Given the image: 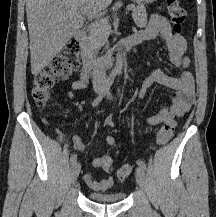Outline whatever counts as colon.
<instances>
[{"label": "colon", "instance_id": "5ec220e1", "mask_svg": "<svg viewBox=\"0 0 216 217\" xmlns=\"http://www.w3.org/2000/svg\"><path fill=\"white\" fill-rule=\"evenodd\" d=\"M169 18L175 32H180L186 20V10L180 4L179 0H167ZM80 43L71 40L65 48L56 56L45 68L38 72L34 77L32 97L39 106L46 105L50 100V90L53 85L62 79H67L76 70L79 64ZM115 124L113 117H107L104 125L106 128H112ZM175 122L165 123L157 133L156 141L159 145L167 144L174 133ZM106 172L114 170L113 162L107 160L103 164ZM130 165L120 167L116 176L118 180L123 181L131 174Z\"/></svg>", "mask_w": 216, "mask_h": 217}]
</instances>
